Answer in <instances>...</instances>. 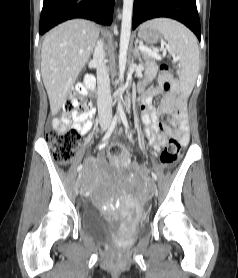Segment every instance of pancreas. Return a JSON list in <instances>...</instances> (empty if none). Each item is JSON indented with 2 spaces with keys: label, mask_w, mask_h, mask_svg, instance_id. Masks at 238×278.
Returning <instances> with one entry per match:
<instances>
[{
  "label": "pancreas",
  "mask_w": 238,
  "mask_h": 278,
  "mask_svg": "<svg viewBox=\"0 0 238 278\" xmlns=\"http://www.w3.org/2000/svg\"><path fill=\"white\" fill-rule=\"evenodd\" d=\"M144 58L146 59H154L151 55H149L147 52H142Z\"/></svg>",
  "instance_id": "1"
}]
</instances>
